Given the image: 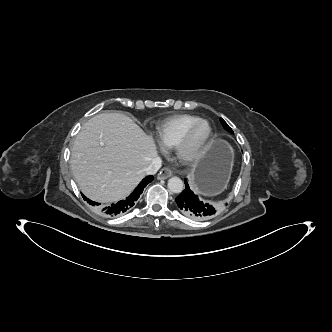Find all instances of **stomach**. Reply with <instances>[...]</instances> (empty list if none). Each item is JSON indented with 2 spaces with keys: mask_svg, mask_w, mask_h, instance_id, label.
Listing matches in <instances>:
<instances>
[{
  "mask_svg": "<svg viewBox=\"0 0 332 332\" xmlns=\"http://www.w3.org/2000/svg\"><path fill=\"white\" fill-rule=\"evenodd\" d=\"M233 151L221 139H213L196 162L191 173V187L197 194L214 196L221 193L229 180Z\"/></svg>",
  "mask_w": 332,
  "mask_h": 332,
  "instance_id": "1",
  "label": "stomach"
}]
</instances>
